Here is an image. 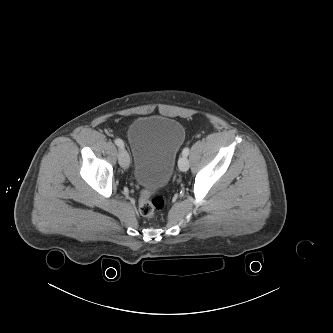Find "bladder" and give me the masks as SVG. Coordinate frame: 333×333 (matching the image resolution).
<instances>
[{
    "label": "bladder",
    "instance_id": "1",
    "mask_svg": "<svg viewBox=\"0 0 333 333\" xmlns=\"http://www.w3.org/2000/svg\"><path fill=\"white\" fill-rule=\"evenodd\" d=\"M184 140V126L175 119L146 116L135 120L128 130V143L136 181L148 188L166 185Z\"/></svg>",
    "mask_w": 333,
    "mask_h": 333
}]
</instances>
